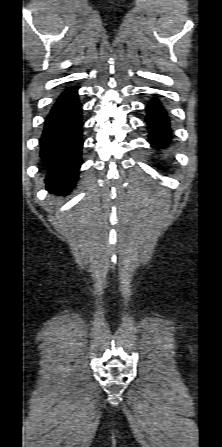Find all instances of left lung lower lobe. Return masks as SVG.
<instances>
[{
  "label": "left lung lower lobe",
  "mask_w": 222,
  "mask_h": 447,
  "mask_svg": "<svg viewBox=\"0 0 222 447\" xmlns=\"http://www.w3.org/2000/svg\"><path fill=\"white\" fill-rule=\"evenodd\" d=\"M146 123L150 134L149 142L152 147H165L171 140V129L166 112L159 101L153 99L147 104Z\"/></svg>",
  "instance_id": "left-lung-lower-lobe-1"
}]
</instances>
